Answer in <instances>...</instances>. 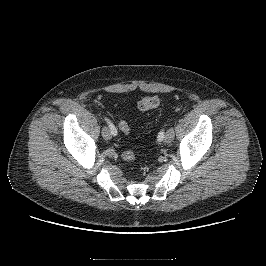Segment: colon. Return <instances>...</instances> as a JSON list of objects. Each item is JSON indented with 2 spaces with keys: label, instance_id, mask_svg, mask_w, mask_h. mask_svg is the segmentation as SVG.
<instances>
[{
  "label": "colon",
  "instance_id": "colon-1",
  "mask_svg": "<svg viewBox=\"0 0 266 266\" xmlns=\"http://www.w3.org/2000/svg\"><path fill=\"white\" fill-rule=\"evenodd\" d=\"M158 105L159 99L156 96H144L139 100L137 104L139 110L141 111H148L154 109ZM118 126L123 133L127 134L130 132V126L127 122L121 121L119 122ZM122 158L128 162L133 161L135 159V153L131 150H125L122 154Z\"/></svg>",
  "mask_w": 266,
  "mask_h": 266
}]
</instances>
